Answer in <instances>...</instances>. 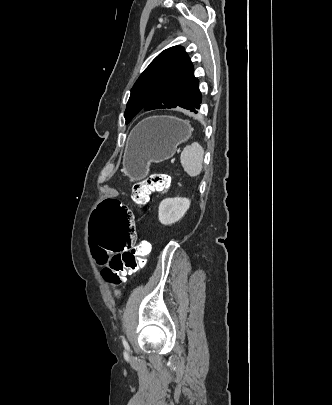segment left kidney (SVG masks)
<instances>
[{
  "mask_svg": "<svg viewBox=\"0 0 332 405\" xmlns=\"http://www.w3.org/2000/svg\"><path fill=\"white\" fill-rule=\"evenodd\" d=\"M190 207L187 198H166L159 205L158 218L164 225H171L179 221Z\"/></svg>",
  "mask_w": 332,
  "mask_h": 405,
  "instance_id": "1",
  "label": "left kidney"
}]
</instances>
